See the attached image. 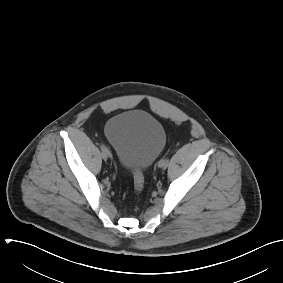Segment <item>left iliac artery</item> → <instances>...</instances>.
I'll return each instance as SVG.
<instances>
[{"label": "left iliac artery", "mask_w": 283, "mask_h": 283, "mask_svg": "<svg viewBox=\"0 0 283 283\" xmlns=\"http://www.w3.org/2000/svg\"><path fill=\"white\" fill-rule=\"evenodd\" d=\"M161 163H166L168 164L169 163V159L167 157H164L162 158L159 162H158V165L161 164Z\"/></svg>", "instance_id": "obj_1"}]
</instances>
